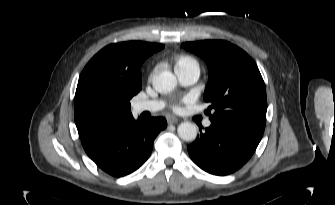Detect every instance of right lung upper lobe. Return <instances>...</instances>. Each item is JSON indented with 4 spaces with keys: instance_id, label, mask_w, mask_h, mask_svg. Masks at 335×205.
Here are the masks:
<instances>
[{
    "instance_id": "right-lung-upper-lobe-1",
    "label": "right lung upper lobe",
    "mask_w": 335,
    "mask_h": 205,
    "mask_svg": "<svg viewBox=\"0 0 335 205\" xmlns=\"http://www.w3.org/2000/svg\"><path fill=\"white\" fill-rule=\"evenodd\" d=\"M162 44L129 41L100 50L83 69L74 99L81 139L104 133L132 118L130 99L142 87L141 65Z\"/></svg>"
}]
</instances>
